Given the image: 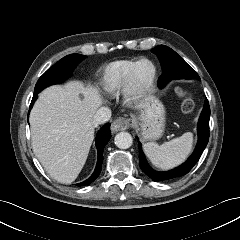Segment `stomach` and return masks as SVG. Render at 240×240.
Segmentation results:
<instances>
[{
  "label": "stomach",
  "mask_w": 240,
  "mask_h": 240,
  "mask_svg": "<svg viewBox=\"0 0 240 240\" xmlns=\"http://www.w3.org/2000/svg\"><path fill=\"white\" fill-rule=\"evenodd\" d=\"M165 110L163 105L154 98L143 106L140 130L144 140H156L160 138L164 131Z\"/></svg>",
  "instance_id": "1"
}]
</instances>
